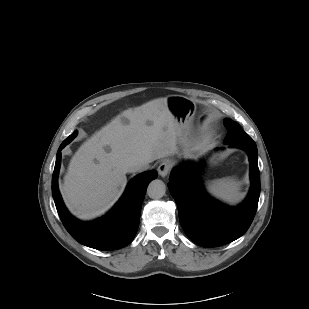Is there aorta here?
I'll use <instances>...</instances> for the list:
<instances>
[{
    "label": "aorta",
    "mask_w": 309,
    "mask_h": 309,
    "mask_svg": "<svg viewBox=\"0 0 309 309\" xmlns=\"http://www.w3.org/2000/svg\"><path fill=\"white\" fill-rule=\"evenodd\" d=\"M166 185L159 179L152 180L147 187V194L152 199H160L165 195Z\"/></svg>",
    "instance_id": "1"
}]
</instances>
